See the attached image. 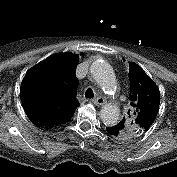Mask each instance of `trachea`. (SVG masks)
<instances>
[{
	"label": "trachea",
	"instance_id": "3493384b",
	"mask_svg": "<svg viewBox=\"0 0 177 177\" xmlns=\"http://www.w3.org/2000/svg\"><path fill=\"white\" fill-rule=\"evenodd\" d=\"M85 97L86 98H93L94 97V92L91 88H88L85 92Z\"/></svg>",
	"mask_w": 177,
	"mask_h": 177
}]
</instances>
